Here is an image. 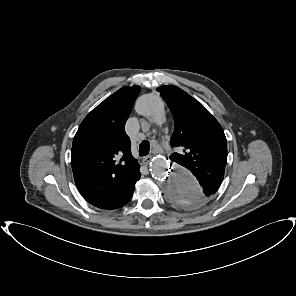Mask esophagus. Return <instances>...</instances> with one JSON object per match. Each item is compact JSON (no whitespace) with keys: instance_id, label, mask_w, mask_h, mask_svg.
Instances as JSON below:
<instances>
[{"instance_id":"esophagus-1","label":"esophagus","mask_w":296,"mask_h":296,"mask_svg":"<svg viewBox=\"0 0 296 296\" xmlns=\"http://www.w3.org/2000/svg\"><path fill=\"white\" fill-rule=\"evenodd\" d=\"M151 155H148V156H145L144 158H143V160H142V163L144 164V165H148L149 164V162L151 161Z\"/></svg>"}]
</instances>
